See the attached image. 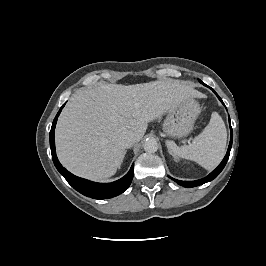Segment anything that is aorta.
I'll use <instances>...</instances> for the list:
<instances>
[{
  "label": "aorta",
  "mask_w": 266,
  "mask_h": 266,
  "mask_svg": "<svg viewBox=\"0 0 266 266\" xmlns=\"http://www.w3.org/2000/svg\"><path fill=\"white\" fill-rule=\"evenodd\" d=\"M143 148L148 153H155L158 150V143L155 139H148L144 142Z\"/></svg>",
  "instance_id": "obj_1"
}]
</instances>
